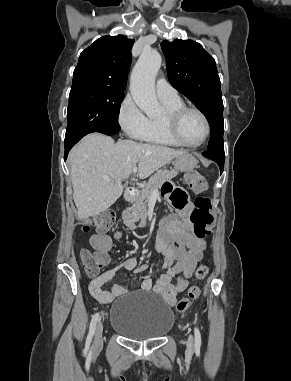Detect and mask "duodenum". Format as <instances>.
<instances>
[{"instance_id": "duodenum-1", "label": "duodenum", "mask_w": 291, "mask_h": 381, "mask_svg": "<svg viewBox=\"0 0 291 381\" xmlns=\"http://www.w3.org/2000/svg\"><path fill=\"white\" fill-rule=\"evenodd\" d=\"M137 195H138V189L131 187L125 191L124 199L127 203H132L135 201Z\"/></svg>"}]
</instances>
